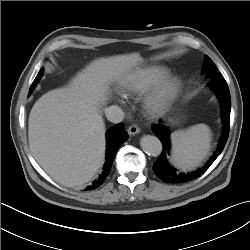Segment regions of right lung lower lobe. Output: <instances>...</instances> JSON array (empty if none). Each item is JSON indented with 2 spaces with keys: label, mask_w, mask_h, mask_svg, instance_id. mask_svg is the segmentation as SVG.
Instances as JSON below:
<instances>
[{
  "label": "right lung lower lobe",
  "mask_w": 250,
  "mask_h": 250,
  "mask_svg": "<svg viewBox=\"0 0 250 250\" xmlns=\"http://www.w3.org/2000/svg\"><path fill=\"white\" fill-rule=\"evenodd\" d=\"M128 138V134L124 130L123 124H117L110 128L106 133V161L103 166V171L99 175V177L92 182L90 186L86 188V190H93L99 187L107 175L110 173V169L115 158L116 152L118 148L124 143V141Z\"/></svg>",
  "instance_id": "right-lung-lower-lobe-1"
}]
</instances>
